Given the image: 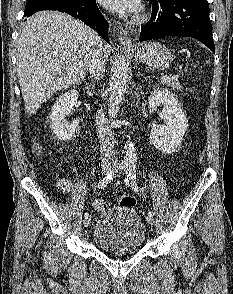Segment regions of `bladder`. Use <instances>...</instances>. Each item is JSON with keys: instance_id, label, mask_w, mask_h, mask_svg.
<instances>
[{"instance_id": "obj_1", "label": "bladder", "mask_w": 233, "mask_h": 294, "mask_svg": "<svg viewBox=\"0 0 233 294\" xmlns=\"http://www.w3.org/2000/svg\"><path fill=\"white\" fill-rule=\"evenodd\" d=\"M92 237L100 250L122 255L136 252L142 247L146 229L142 219L132 208L116 206L99 216Z\"/></svg>"}]
</instances>
